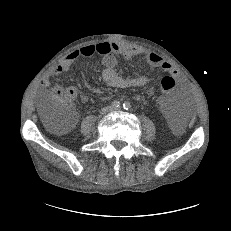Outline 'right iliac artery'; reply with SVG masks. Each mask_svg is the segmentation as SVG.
I'll use <instances>...</instances> for the list:
<instances>
[{
  "mask_svg": "<svg viewBox=\"0 0 231 231\" xmlns=\"http://www.w3.org/2000/svg\"><path fill=\"white\" fill-rule=\"evenodd\" d=\"M111 105H112V107H119L120 106V102L117 101V100H115V101L112 102Z\"/></svg>",
  "mask_w": 231,
  "mask_h": 231,
  "instance_id": "82829eb1",
  "label": "right iliac artery"
}]
</instances>
